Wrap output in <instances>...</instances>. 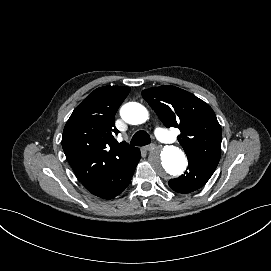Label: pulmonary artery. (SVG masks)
<instances>
[{"mask_svg": "<svg viewBox=\"0 0 271 271\" xmlns=\"http://www.w3.org/2000/svg\"><path fill=\"white\" fill-rule=\"evenodd\" d=\"M154 134L162 143L172 144L174 142V137L172 135H167L164 127H156L154 129Z\"/></svg>", "mask_w": 271, "mask_h": 271, "instance_id": "pulmonary-artery-1", "label": "pulmonary artery"}]
</instances>
